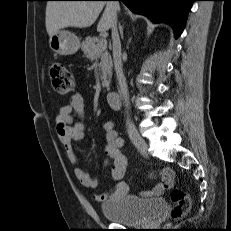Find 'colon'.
<instances>
[{
    "label": "colon",
    "instance_id": "1",
    "mask_svg": "<svg viewBox=\"0 0 231 231\" xmlns=\"http://www.w3.org/2000/svg\"><path fill=\"white\" fill-rule=\"evenodd\" d=\"M50 79L55 92L58 95L66 96L75 89V81L70 71L59 62L50 66ZM173 201L172 217L177 219L187 214L190 209V199L181 189H175L171 193Z\"/></svg>",
    "mask_w": 231,
    "mask_h": 231
}]
</instances>
